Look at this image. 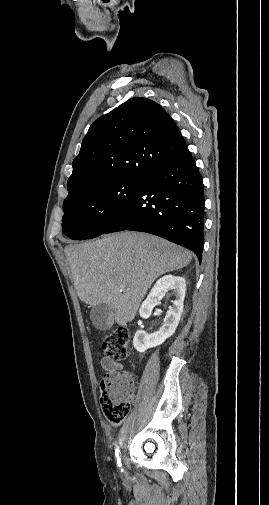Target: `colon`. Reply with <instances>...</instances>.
Wrapping results in <instances>:
<instances>
[{"label":"colon","instance_id":"obj_1","mask_svg":"<svg viewBox=\"0 0 269 505\" xmlns=\"http://www.w3.org/2000/svg\"><path fill=\"white\" fill-rule=\"evenodd\" d=\"M130 332L119 327L103 341V352L115 360H124L128 355ZM100 403L104 415L113 426L120 425L131 409L132 382L127 372L106 375L100 383Z\"/></svg>","mask_w":269,"mask_h":505}]
</instances>
